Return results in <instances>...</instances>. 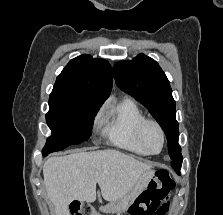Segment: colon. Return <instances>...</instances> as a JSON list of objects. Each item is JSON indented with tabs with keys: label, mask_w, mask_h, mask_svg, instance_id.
Returning a JSON list of instances; mask_svg holds the SVG:
<instances>
[{
	"label": "colon",
	"mask_w": 223,
	"mask_h": 215,
	"mask_svg": "<svg viewBox=\"0 0 223 215\" xmlns=\"http://www.w3.org/2000/svg\"><path fill=\"white\" fill-rule=\"evenodd\" d=\"M175 187V181L168 171L158 170L144 190L131 205L130 215H158L162 214L165 201ZM71 215H101L90 204L72 203L70 205Z\"/></svg>",
	"instance_id": "obj_1"
}]
</instances>
